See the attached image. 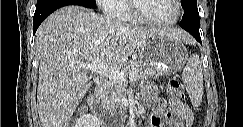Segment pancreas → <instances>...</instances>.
Instances as JSON below:
<instances>
[{"label": "pancreas", "mask_w": 243, "mask_h": 127, "mask_svg": "<svg viewBox=\"0 0 243 127\" xmlns=\"http://www.w3.org/2000/svg\"><path fill=\"white\" fill-rule=\"evenodd\" d=\"M133 69L137 72V79L147 80L151 76V72L136 60H131L121 68L126 75ZM125 93L126 82L110 80L100 95L101 102L107 109L114 110L121 106V100L125 97Z\"/></svg>", "instance_id": "1"}]
</instances>
